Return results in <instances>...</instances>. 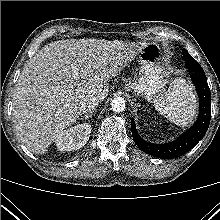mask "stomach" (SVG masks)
<instances>
[{
  "label": "stomach",
  "mask_w": 220,
  "mask_h": 220,
  "mask_svg": "<svg viewBox=\"0 0 220 220\" xmlns=\"http://www.w3.org/2000/svg\"><path fill=\"white\" fill-rule=\"evenodd\" d=\"M139 73L124 89L149 101L159 97L165 91L168 71L163 64V51L159 44L148 43L137 55Z\"/></svg>",
  "instance_id": "1"
}]
</instances>
